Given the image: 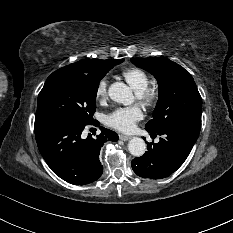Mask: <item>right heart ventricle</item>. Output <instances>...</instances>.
Masks as SVG:
<instances>
[{"mask_svg":"<svg viewBox=\"0 0 233 233\" xmlns=\"http://www.w3.org/2000/svg\"><path fill=\"white\" fill-rule=\"evenodd\" d=\"M122 75L137 93L142 92L149 85L148 74L140 68H128L122 72Z\"/></svg>","mask_w":233,"mask_h":233,"instance_id":"e07e8e85","label":"right heart ventricle"}]
</instances>
